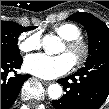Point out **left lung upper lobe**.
Listing matches in <instances>:
<instances>
[{"mask_svg":"<svg viewBox=\"0 0 109 109\" xmlns=\"http://www.w3.org/2000/svg\"><path fill=\"white\" fill-rule=\"evenodd\" d=\"M69 20L81 23L89 37V56L86 62H92L100 57L109 56V28L104 22L94 15L86 12H79L68 17ZM66 100L74 103L80 100L81 92L74 87L66 91Z\"/></svg>","mask_w":109,"mask_h":109,"instance_id":"5c2ea615","label":"left lung upper lobe"}]
</instances>
